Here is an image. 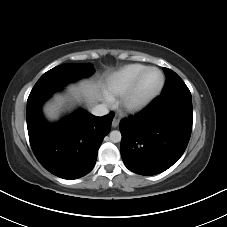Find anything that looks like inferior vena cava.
I'll list each match as a JSON object with an SVG mask.
<instances>
[{
  "label": "inferior vena cava",
  "instance_id": "obj_1",
  "mask_svg": "<svg viewBox=\"0 0 227 227\" xmlns=\"http://www.w3.org/2000/svg\"><path fill=\"white\" fill-rule=\"evenodd\" d=\"M91 113L95 116H104L109 113V110L105 104H99L92 108Z\"/></svg>",
  "mask_w": 227,
  "mask_h": 227
}]
</instances>
